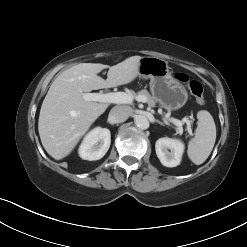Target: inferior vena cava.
<instances>
[{"mask_svg":"<svg viewBox=\"0 0 247 247\" xmlns=\"http://www.w3.org/2000/svg\"><path fill=\"white\" fill-rule=\"evenodd\" d=\"M132 114V108L129 106H115L111 109L109 116L115 123L126 121Z\"/></svg>","mask_w":247,"mask_h":247,"instance_id":"inferior-vena-cava-1","label":"inferior vena cava"}]
</instances>
